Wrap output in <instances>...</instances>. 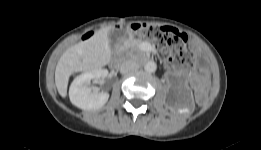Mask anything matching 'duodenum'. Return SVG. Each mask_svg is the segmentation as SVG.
Wrapping results in <instances>:
<instances>
[{
    "label": "duodenum",
    "mask_w": 261,
    "mask_h": 150,
    "mask_svg": "<svg viewBox=\"0 0 261 150\" xmlns=\"http://www.w3.org/2000/svg\"><path fill=\"white\" fill-rule=\"evenodd\" d=\"M121 30H123V27H120ZM121 57L120 55H116L112 60V66L117 67L120 63Z\"/></svg>",
    "instance_id": "duodenum-1"
}]
</instances>
